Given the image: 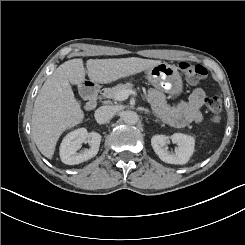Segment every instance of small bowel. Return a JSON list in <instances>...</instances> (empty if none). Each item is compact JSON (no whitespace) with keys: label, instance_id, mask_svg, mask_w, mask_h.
Instances as JSON below:
<instances>
[{"label":"small bowel","instance_id":"small-bowel-1","mask_svg":"<svg viewBox=\"0 0 245 245\" xmlns=\"http://www.w3.org/2000/svg\"><path fill=\"white\" fill-rule=\"evenodd\" d=\"M148 98L156 113L171 126L183 127L203 120L201 110L205 104L206 94L202 88H194L186 101L175 106L169 105L163 93L156 89L148 92Z\"/></svg>","mask_w":245,"mask_h":245}]
</instances>
